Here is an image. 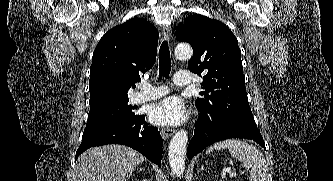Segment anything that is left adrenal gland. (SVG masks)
Segmentation results:
<instances>
[{
	"label": "left adrenal gland",
	"mask_w": 333,
	"mask_h": 181,
	"mask_svg": "<svg viewBox=\"0 0 333 181\" xmlns=\"http://www.w3.org/2000/svg\"><path fill=\"white\" fill-rule=\"evenodd\" d=\"M202 170H205L206 172H209L207 169H204V167L202 166L200 170H198V173Z\"/></svg>",
	"instance_id": "obj_1"
}]
</instances>
